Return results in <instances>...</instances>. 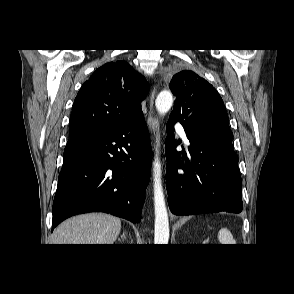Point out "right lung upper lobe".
<instances>
[{"instance_id":"cb5924a9","label":"right lung upper lobe","mask_w":294,"mask_h":294,"mask_svg":"<svg viewBox=\"0 0 294 294\" xmlns=\"http://www.w3.org/2000/svg\"><path fill=\"white\" fill-rule=\"evenodd\" d=\"M146 79L126 61L98 68L80 88L70 118V139L112 129L141 112Z\"/></svg>"}]
</instances>
